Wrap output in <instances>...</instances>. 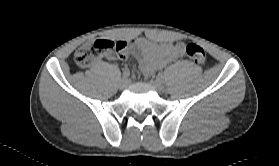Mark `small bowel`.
I'll use <instances>...</instances> for the list:
<instances>
[{
    "label": "small bowel",
    "instance_id": "1",
    "mask_svg": "<svg viewBox=\"0 0 279 166\" xmlns=\"http://www.w3.org/2000/svg\"><path fill=\"white\" fill-rule=\"evenodd\" d=\"M183 43H157L141 37L134 41L130 49H125L119 54H109L108 59L119 58L125 60L132 53L138 60L144 74L150 76L156 70L163 68L168 63L184 54Z\"/></svg>",
    "mask_w": 279,
    "mask_h": 166
}]
</instances>
